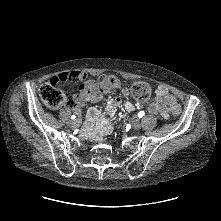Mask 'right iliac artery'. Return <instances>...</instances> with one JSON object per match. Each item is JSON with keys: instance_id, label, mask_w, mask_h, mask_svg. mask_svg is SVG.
<instances>
[{"instance_id": "obj_1", "label": "right iliac artery", "mask_w": 221, "mask_h": 221, "mask_svg": "<svg viewBox=\"0 0 221 221\" xmlns=\"http://www.w3.org/2000/svg\"><path fill=\"white\" fill-rule=\"evenodd\" d=\"M75 118H76V116H74V115L71 116V119H75Z\"/></svg>"}]
</instances>
